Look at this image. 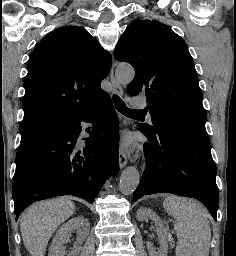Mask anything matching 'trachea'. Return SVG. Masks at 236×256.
I'll return each instance as SVG.
<instances>
[{
	"label": "trachea",
	"mask_w": 236,
	"mask_h": 256,
	"mask_svg": "<svg viewBox=\"0 0 236 256\" xmlns=\"http://www.w3.org/2000/svg\"><path fill=\"white\" fill-rule=\"evenodd\" d=\"M113 102L115 105V108L122 113V115H129V114H134L137 112H141L142 110H133L131 108H128L125 105V102L121 100V98L118 95H113Z\"/></svg>",
	"instance_id": "1"
}]
</instances>
